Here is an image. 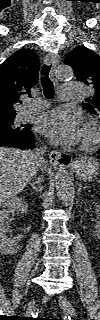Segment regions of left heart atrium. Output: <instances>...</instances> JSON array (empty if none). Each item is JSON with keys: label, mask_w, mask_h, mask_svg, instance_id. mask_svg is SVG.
<instances>
[{"label": "left heart atrium", "mask_w": 100, "mask_h": 320, "mask_svg": "<svg viewBox=\"0 0 100 320\" xmlns=\"http://www.w3.org/2000/svg\"><path fill=\"white\" fill-rule=\"evenodd\" d=\"M37 130L53 142L74 145L82 138V119L77 112L55 108L42 114L36 124Z\"/></svg>", "instance_id": "left-heart-atrium-1"}]
</instances>
